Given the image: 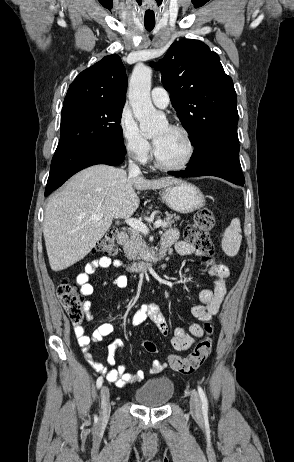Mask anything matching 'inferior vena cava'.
Masks as SVG:
<instances>
[{
    "mask_svg": "<svg viewBox=\"0 0 294 462\" xmlns=\"http://www.w3.org/2000/svg\"><path fill=\"white\" fill-rule=\"evenodd\" d=\"M128 172L130 177L138 176L141 174L140 168L132 160H129Z\"/></svg>",
    "mask_w": 294,
    "mask_h": 462,
    "instance_id": "1",
    "label": "inferior vena cava"
}]
</instances>
